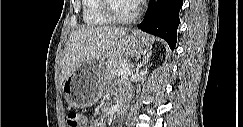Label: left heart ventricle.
<instances>
[{
    "label": "left heart ventricle",
    "mask_w": 243,
    "mask_h": 127,
    "mask_svg": "<svg viewBox=\"0 0 243 127\" xmlns=\"http://www.w3.org/2000/svg\"><path fill=\"white\" fill-rule=\"evenodd\" d=\"M113 9L118 15H129L133 11V2L129 0H114Z\"/></svg>",
    "instance_id": "1"
}]
</instances>
